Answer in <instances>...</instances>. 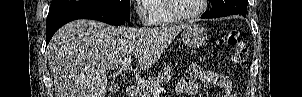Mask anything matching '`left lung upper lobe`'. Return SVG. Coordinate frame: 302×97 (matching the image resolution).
I'll use <instances>...</instances> for the list:
<instances>
[{
	"mask_svg": "<svg viewBox=\"0 0 302 97\" xmlns=\"http://www.w3.org/2000/svg\"><path fill=\"white\" fill-rule=\"evenodd\" d=\"M212 9L210 12L218 17L231 14L246 16L247 0H210Z\"/></svg>",
	"mask_w": 302,
	"mask_h": 97,
	"instance_id": "obj_1",
	"label": "left lung upper lobe"
}]
</instances>
